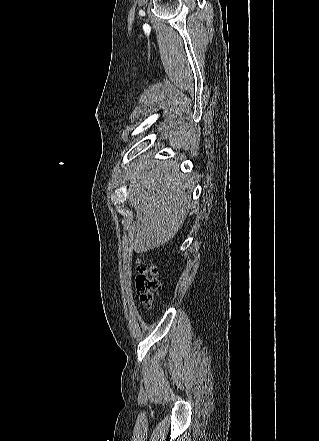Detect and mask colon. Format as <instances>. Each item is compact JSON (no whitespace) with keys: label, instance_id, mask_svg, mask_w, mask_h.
<instances>
[{"label":"colon","instance_id":"colon-1","mask_svg":"<svg viewBox=\"0 0 319 441\" xmlns=\"http://www.w3.org/2000/svg\"><path fill=\"white\" fill-rule=\"evenodd\" d=\"M157 268L143 260L137 261V276L135 278L136 291L146 310H151L157 293L160 290V283L157 280Z\"/></svg>","mask_w":319,"mask_h":441}]
</instances>
